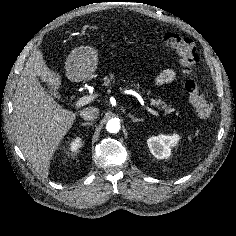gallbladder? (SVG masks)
Listing matches in <instances>:
<instances>
[{"label": "gallbladder", "mask_w": 236, "mask_h": 236, "mask_svg": "<svg viewBox=\"0 0 236 236\" xmlns=\"http://www.w3.org/2000/svg\"><path fill=\"white\" fill-rule=\"evenodd\" d=\"M47 92L53 93V96H54V97L59 98V96L57 95V93H56L55 91H52L50 88H47Z\"/></svg>", "instance_id": "obj_1"}]
</instances>
